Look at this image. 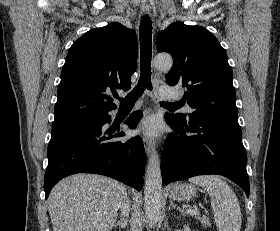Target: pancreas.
Wrapping results in <instances>:
<instances>
[{
    "label": "pancreas",
    "instance_id": "obj_1",
    "mask_svg": "<svg viewBox=\"0 0 280 231\" xmlns=\"http://www.w3.org/2000/svg\"><path fill=\"white\" fill-rule=\"evenodd\" d=\"M199 221H201L202 225H211L209 217L207 215H202V217H199V215H195Z\"/></svg>",
    "mask_w": 280,
    "mask_h": 231
}]
</instances>
